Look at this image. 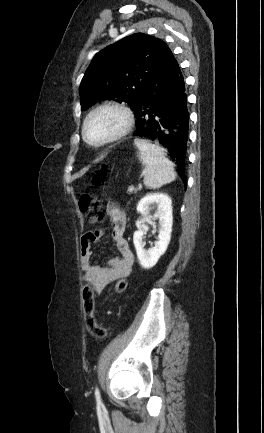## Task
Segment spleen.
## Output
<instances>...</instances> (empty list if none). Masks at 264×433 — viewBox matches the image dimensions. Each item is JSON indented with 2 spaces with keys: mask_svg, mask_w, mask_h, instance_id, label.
<instances>
[{
  "mask_svg": "<svg viewBox=\"0 0 264 433\" xmlns=\"http://www.w3.org/2000/svg\"><path fill=\"white\" fill-rule=\"evenodd\" d=\"M134 144L140 151V159L145 165L144 185L150 189L160 188L176 179L173 163L165 157L159 145L144 139H135Z\"/></svg>",
  "mask_w": 264,
  "mask_h": 433,
  "instance_id": "spleen-1",
  "label": "spleen"
}]
</instances>
